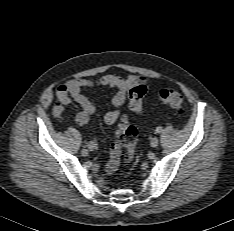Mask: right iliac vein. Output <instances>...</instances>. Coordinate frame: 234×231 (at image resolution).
Here are the masks:
<instances>
[{"mask_svg": "<svg viewBox=\"0 0 234 231\" xmlns=\"http://www.w3.org/2000/svg\"><path fill=\"white\" fill-rule=\"evenodd\" d=\"M88 150L87 149H83L82 151H81V154L83 155V156H87L88 155Z\"/></svg>", "mask_w": 234, "mask_h": 231, "instance_id": "1", "label": "right iliac vein"}]
</instances>
